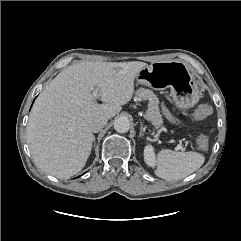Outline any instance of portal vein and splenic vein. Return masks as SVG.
I'll return each mask as SVG.
<instances>
[{"label": "portal vein and splenic vein", "instance_id": "portal-vein-and-splenic-vein-1", "mask_svg": "<svg viewBox=\"0 0 241 241\" xmlns=\"http://www.w3.org/2000/svg\"><path fill=\"white\" fill-rule=\"evenodd\" d=\"M93 96L95 99H97L98 97V93L97 92H93ZM177 150H183V147L181 144H178L177 147H176Z\"/></svg>", "mask_w": 241, "mask_h": 241}]
</instances>
